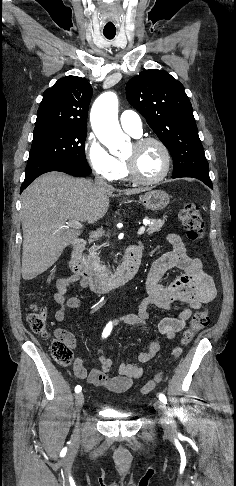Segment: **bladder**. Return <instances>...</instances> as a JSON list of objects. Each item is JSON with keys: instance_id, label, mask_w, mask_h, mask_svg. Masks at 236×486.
Instances as JSON below:
<instances>
[{"instance_id": "bladder-1", "label": "bladder", "mask_w": 236, "mask_h": 486, "mask_svg": "<svg viewBox=\"0 0 236 486\" xmlns=\"http://www.w3.org/2000/svg\"><path fill=\"white\" fill-rule=\"evenodd\" d=\"M101 413L106 417L118 418V419H128L130 418L131 414L127 412H123L120 410H116L113 408L105 407L101 410Z\"/></svg>"}]
</instances>
